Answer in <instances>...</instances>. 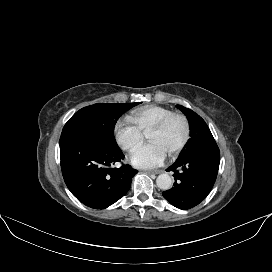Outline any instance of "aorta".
Here are the masks:
<instances>
[{"mask_svg": "<svg viewBox=\"0 0 272 272\" xmlns=\"http://www.w3.org/2000/svg\"><path fill=\"white\" fill-rule=\"evenodd\" d=\"M156 184L162 190H169L172 187L173 179L168 173H163L157 177Z\"/></svg>", "mask_w": 272, "mask_h": 272, "instance_id": "obj_1", "label": "aorta"}]
</instances>
